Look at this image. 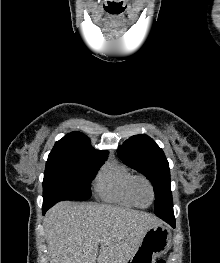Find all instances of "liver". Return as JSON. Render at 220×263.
<instances>
[{
    "instance_id": "obj_1",
    "label": "liver",
    "mask_w": 220,
    "mask_h": 263,
    "mask_svg": "<svg viewBox=\"0 0 220 263\" xmlns=\"http://www.w3.org/2000/svg\"><path fill=\"white\" fill-rule=\"evenodd\" d=\"M158 225V218L142 211L59 202L44 218L50 263H127L144 233Z\"/></svg>"
}]
</instances>
